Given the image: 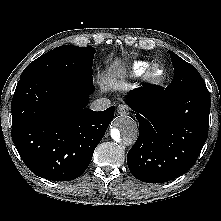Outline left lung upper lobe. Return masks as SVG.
Masks as SVG:
<instances>
[{
    "instance_id": "obj_1",
    "label": "left lung upper lobe",
    "mask_w": 221,
    "mask_h": 221,
    "mask_svg": "<svg viewBox=\"0 0 221 221\" xmlns=\"http://www.w3.org/2000/svg\"><path fill=\"white\" fill-rule=\"evenodd\" d=\"M171 61L174 67V78L167 90L170 92H179L182 90L206 87L201 75L194 66L184 61L174 52L169 51Z\"/></svg>"
}]
</instances>
